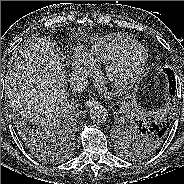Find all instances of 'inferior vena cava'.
<instances>
[{"instance_id":"602c4592","label":"inferior vena cava","mask_w":184,"mask_h":184,"mask_svg":"<svg viewBox=\"0 0 184 184\" xmlns=\"http://www.w3.org/2000/svg\"><path fill=\"white\" fill-rule=\"evenodd\" d=\"M69 82L74 92H82L88 86V79L80 75H73Z\"/></svg>"}]
</instances>
